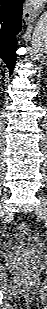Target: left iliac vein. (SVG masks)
<instances>
[{
  "instance_id": "4c4485c4",
  "label": "left iliac vein",
  "mask_w": 47,
  "mask_h": 309,
  "mask_svg": "<svg viewBox=\"0 0 47 309\" xmlns=\"http://www.w3.org/2000/svg\"><path fill=\"white\" fill-rule=\"evenodd\" d=\"M41 204L36 208L35 213L38 218L44 219L46 218V199L40 197Z\"/></svg>"
}]
</instances>
